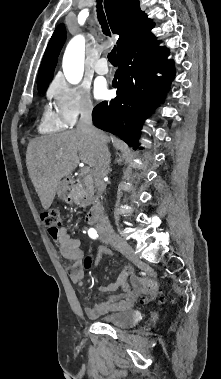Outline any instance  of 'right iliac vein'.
Masks as SVG:
<instances>
[{
  "mask_svg": "<svg viewBox=\"0 0 221 379\" xmlns=\"http://www.w3.org/2000/svg\"><path fill=\"white\" fill-rule=\"evenodd\" d=\"M105 241L127 256L134 255L132 247L116 235H108L105 238Z\"/></svg>",
  "mask_w": 221,
  "mask_h": 379,
  "instance_id": "right-iliac-vein-1",
  "label": "right iliac vein"
}]
</instances>
